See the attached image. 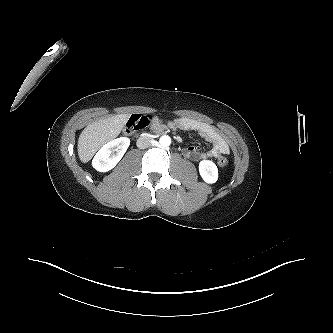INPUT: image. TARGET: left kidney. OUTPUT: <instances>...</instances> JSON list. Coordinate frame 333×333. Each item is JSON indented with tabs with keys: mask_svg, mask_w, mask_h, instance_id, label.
Here are the masks:
<instances>
[{
	"mask_svg": "<svg viewBox=\"0 0 333 333\" xmlns=\"http://www.w3.org/2000/svg\"><path fill=\"white\" fill-rule=\"evenodd\" d=\"M199 173L206 183H215L218 179V169L210 160H202L199 163Z\"/></svg>",
	"mask_w": 333,
	"mask_h": 333,
	"instance_id": "5707ae66",
	"label": "left kidney"
}]
</instances>
